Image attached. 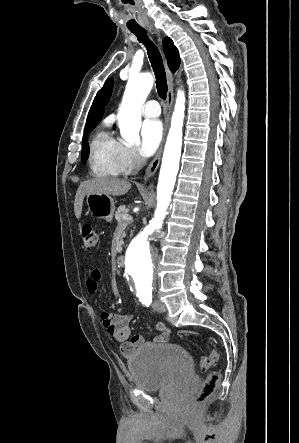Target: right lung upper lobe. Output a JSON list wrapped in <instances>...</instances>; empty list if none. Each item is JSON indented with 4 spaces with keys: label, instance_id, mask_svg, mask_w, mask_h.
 <instances>
[{
    "label": "right lung upper lobe",
    "instance_id": "cb5924a9",
    "mask_svg": "<svg viewBox=\"0 0 299 443\" xmlns=\"http://www.w3.org/2000/svg\"><path fill=\"white\" fill-rule=\"evenodd\" d=\"M164 52L167 57L168 65L172 72H175L180 65V58L177 48L174 46L172 40L168 37L163 39ZM113 88L112 78L108 79L102 89L97 93L93 104L90 108L86 126L95 125L102 119L104 108L111 96Z\"/></svg>",
    "mask_w": 299,
    "mask_h": 443
}]
</instances>
